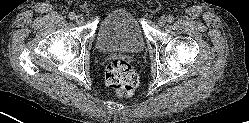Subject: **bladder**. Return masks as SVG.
<instances>
[{
    "mask_svg": "<svg viewBox=\"0 0 249 123\" xmlns=\"http://www.w3.org/2000/svg\"><path fill=\"white\" fill-rule=\"evenodd\" d=\"M95 45L101 52L141 51L146 45V35L136 12L129 6L110 12L97 29Z\"/></svg>",
    "mask_w": 249,
    "mask_h": 123,
    "instance_id": "1",
    "label": "bladder"
}]
</instances>
